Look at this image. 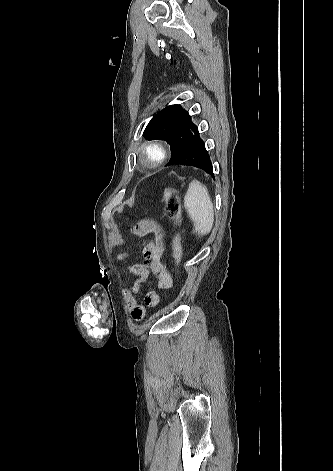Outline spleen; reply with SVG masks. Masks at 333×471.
Instances as JSON below:
<instances>
[{"label": "spleen", "mask_w": 333, "mask_h": 471, "mask_svg": "<svg viewBox=\"0 0 333 471\" xmlns=\"http://www.w3.org/2000/svg\"><path fill=\"white\" fill-rule=\"evenodd\" d=\"M184 205L198 234H208L214 223V209L207 188L197 180L191 181Z\"/></svg>", "instance_id": "spleen-1"}]
</instances>
